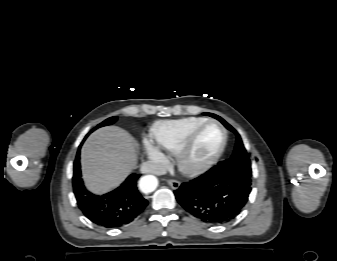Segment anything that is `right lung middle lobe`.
<instances>
[{"label": "right lung middle lobe", "instance_id": "dd1d6c3e", "mask_svg": "<svg viewBox=\"0 0 337 261\" xmlns=\"http://www.w3.org/2000/svg\"><path fill=\"white\" fill-rule=\"evenodd\" d=\"M116 120H117V117H111V118L106 119V120L103 121L101 124H99L97 127H95L94 129H92V130L89 132V134H90L92 131H94V130H96L97 128H99V127L107 126V125L113 124Z\"/></svg>", "mask_w": 337, "mask_h": 261}]
</instances>
